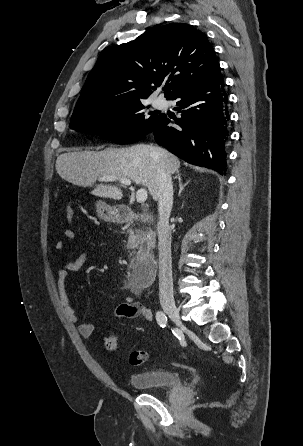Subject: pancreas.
Here are the masks:
<instances>
[{
  "instance_id": "pancreas-1",
  "label": "pancreas",
  "mask_w": 303,
  "mask_h": 446,
  "mask_svg": "<svg viewBox=\"0 0 303 446\" xmlns=\"http://www.w3.org/2000/svg\"><path fill=\"white\" fill-rule=\"evenodd\" d=\"M128 232L127 248L132 250L130 255L135 254L136 249L139 250V253H142L154 248L155 233L150 228L129 229Z\"/></svg>"
}]
</instances>
